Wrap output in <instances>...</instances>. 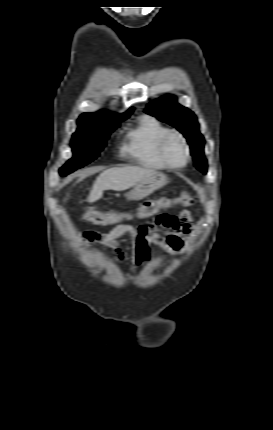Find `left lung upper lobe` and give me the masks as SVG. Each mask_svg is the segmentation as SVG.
<instances>
[{"instance_id":"1","label":"left lung upper lobe","mask_w":273,"mask_h":430,"mask_svg":"<svg viewBox=\"0 0 273 430\" xmlns=\"http://www.w3.org/2000/svg\"><path fill=\"white\" fill-rule=\"evenodd\" d=\"M146 113L176 127L188 140L195 166L203 173L207 172V161L204 157V138L198 130L194 113L177 103L173 95L164 96L151 102Z\"/></svg>"}]
</instances>
